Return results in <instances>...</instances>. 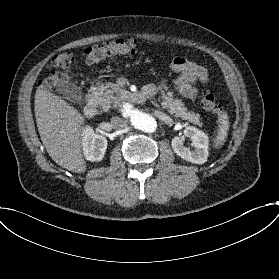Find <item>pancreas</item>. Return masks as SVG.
Returning <instances> with one entry per match:
<instances>
[{"mask_svg": "<svg viewBox=\"0 0 279 279\" xmlns=\"http://www.w3.org/2000/svg\"><path fill=\"white\" fill-rule=\"evenodd\" d=\"M115 91H118V89L111 82L98 84L95 92L97 93L96 98L100 101V105H109L113 102V93ZM161 99L162 107L168 109L170 114H174L175 117H181L183 120H189L195 124L199 123V117L194 112H187L182 101L173 98L172 92L165 93L162 91Z\"/></svg>", "mask_w": 279, "mask_h": 279, "instance_id": "cf45deb5", "label": "pancreas"}]
</instances>
